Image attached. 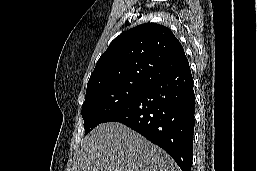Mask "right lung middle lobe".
I'll return each mask as SVG.
<instances>
[{"instance_id": "1", "label": "right lung middle lobe", "mask_w": 257, "mask_h": 171, "mask_svg": "<svg viewBox=\"0 0 257 171\" xmlns=\"http://www.w3.org/2000/svg\"><path fill=\"white\" fill-rule=\"evenodd\" d=\"M147 86L143 83H114L86 91L82 105L85 134L105 122L109 116L129 103Z\"/></svg>"}]
</instances>
